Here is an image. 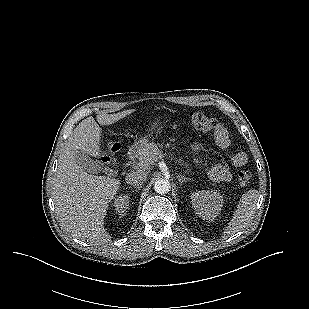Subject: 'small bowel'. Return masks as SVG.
<instances>
[{
  "label": "small bowel",
  "mask_w": 309,
  "mask_h": 309,
  "mask_svg": "<svg viewBox=\"0 0 309 309\" xmlns=\"http://www.w3.org/2000/svg\"><path fill=\"white\" fill-rule=\"evenodd\" d=\"M214 139L216 144L221 149H226L230 145V138L228 132L223 126H221L215 132ZM201 147L202 146L200 144L195 145V148ZM230 161L235 167H242L247 163L248 158L244 152L239 151L231 155ZM209 177L214 182H227L232 179L233 172L230 166H228L226 163L219 162L209 170Z\"/></svg>",
  "instance_id": "c3829d8e"
}]
</instances>
